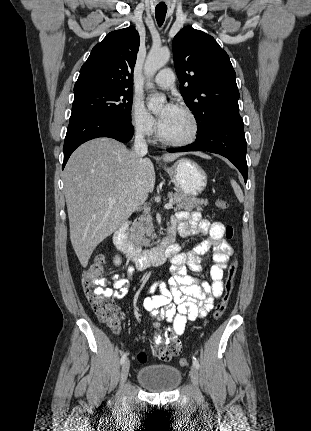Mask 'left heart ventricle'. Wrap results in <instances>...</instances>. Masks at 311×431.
<instances>
[{
    "label": "left heart ventricle",
    "instance_id": "left-heart-ventricle-1",
    "mask_svg": "<svg viewBox=\"0 0 311 431\" xmlns=\"http://www.w3.org/2000/svg\"><path fill=\"white\" fill-rule=\"evenodd\" d=\"M163 137L169 140H184L189 138L194 132V123L182 110L178 111L161 126Z\"/></svg>",
    "mask_w": 311,
    "mask_h": 431
}]
</instances>
